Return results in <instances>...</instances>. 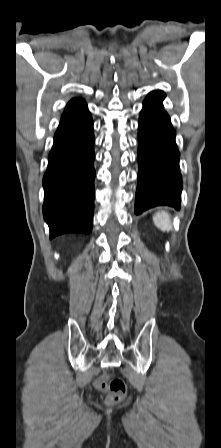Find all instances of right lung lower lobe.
I'll return each instance as SVG.
<instances>
[{
  "mask_svg": "<svg viewBox=\"0 0 221 448\" xmlns=\"http://www.w3.org/2000/svg\"><path fill=\"white\" fill-rule=\"evenodd\" d=\"M94 134L86 102L72 99L54 136L43 178V215L50 238L90 233L94 208Z\"/></svg>",
  "mask_w": 221,
  "mask_h": 448,
  "instance_id": "right-lung-lower-lobe-1",
  "label": "right lung lower lobe"
}]
</instances>
